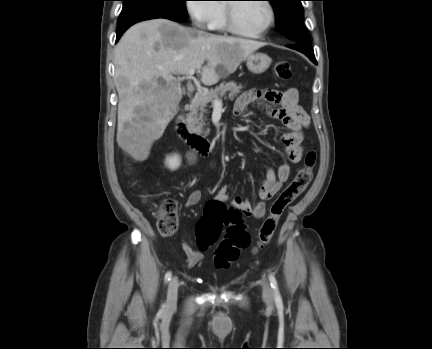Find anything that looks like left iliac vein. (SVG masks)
I'll use <instances>...</instances> for the list:
<instances>
[{
  "label": "left iliac vein",
  "instance_id": "4c4485c4",
  "mask_svg": "<svg viewBox=\"0 0 432 349\" xmlns=\"http://www.w3.org/2000/svg\"><path fill=\"white\" fill-rule=\"evenodd\" d=\"M262 297L264 302L268 305V306H273L274 305V294H273V290L270 287L268 281L266 279H263L262 281Z\"/></svg>",
  "mask_w": 432,
  "mask_h": 349
}]
</instances>
